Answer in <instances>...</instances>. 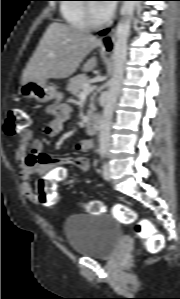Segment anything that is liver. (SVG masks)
<instances>
[{
    "mask_svg": "<svg viewBox=\"0 0 180 299\" xmlns=\"http://www.w3.org/2000/svg\"><path fill=\"white\" fill-rule=\"evenodd\" d=\"M101 45V40L87 31L53 22L46 29L21 78L27 81L65 79L76 72L85 56ZM97 58H90L82 68L92 71Z\"/></svg>",
    "mask_w": 180,
    "mask_h": 299,
    "instance_id": "1",
    "label": "liver"
}]
</instances>
